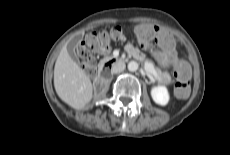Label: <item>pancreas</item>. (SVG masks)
Returning a JSON list of instances; mask_svg holds the SVG:
<instances>
[{
    "mask_svg": "<svg viewBox=\"0 0 230 155\" xmlns=\"http://www.w3.org/2000/svg\"><path fill=\"white\" fill-rule=\"evenodd\" d=\"M126 51L131 54L135 59H138L140 61H145V63H151L149 60L145 59V56L143 54L140 53L139 49H128L126 47ZM152 64V63H151ZM156 75L155 78L156 80L163 82L165 84H170L172 83V78L170 76V74L166 71H161L159 68H154ZM148 74H151L150 72H148Z\"/></svg>",
    "mask_w": 230,
    "mask_h": 155,
    "instance_id": "1",
    "label": "pancreas"
}]
</instances>
